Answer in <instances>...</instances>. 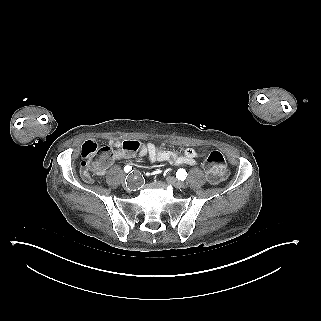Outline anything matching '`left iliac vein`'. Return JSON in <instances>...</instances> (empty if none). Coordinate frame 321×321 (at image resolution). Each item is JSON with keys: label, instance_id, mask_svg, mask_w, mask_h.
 <instances>
[{"label": "left iliac vein", "instance_id": "left-iliac-vein-1", "mask_svg": "<svg viewBox=\"0 0 321 321\" xmlns=\"http://www.w3.org/2000/svg\"><path fill=\"white\" fill-rule=\"evenodd\" d=\"M166 180L170 185H172L173 187L178 188V189L183 188L186 185V183L184 181L178 180L177 178L172 177V176H168L166 178Z\"/></svg>", "mask_w": 321, "mask_h": 321}]
</instances>
